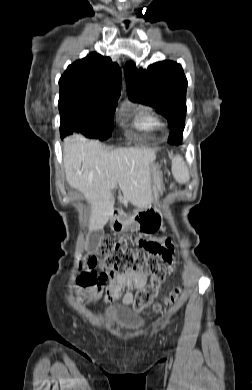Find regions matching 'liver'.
<instances>
[{
	"instance_id": "obj_1",
	"label": "liver",
	"mask_w": 252,
	"mask_h": 390,
	"mask_svg": "<svg viewBox=\"0 0 252 390\" xmlns=\"http://www.w3.org/2000/svg\"><path fill=\"white\" fill-rule=\"evenodd\" d=\"M66 181L79 190L92 206L90 228L102 229L111 218L117 186L135 204L149 202L152 150L119 148L108 151L99 141L73 134L64 140Z\"/></svg>"
}]
</instances>
